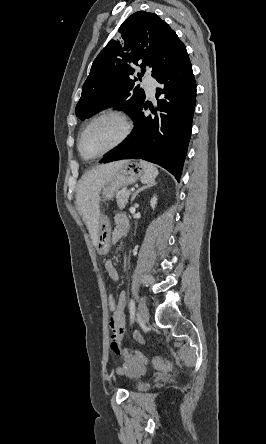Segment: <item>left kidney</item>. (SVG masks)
I'll use <instances>...</instances> for the list:
<instances>
[{
	"label": "left kidney",
	"instance_id": "obj_1",
	"mask_svg": "<svg viewBox=\"0 0 266 444\" xmlns=\"http://www.w3.org/2000/svg\"><path fill=\"white\" fill-rule=\"evenodd\" d=\"M156 203H157V197H156V196H153V198L151 199V202H150L151 207H152L153 209L155 208Z\"/></svg>",
	"mask_w": 266,
	"mask_h": 444
}]
</instances>
